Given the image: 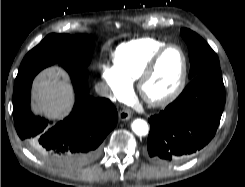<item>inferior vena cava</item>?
Masks as SVG:
<instances>
[{"label": "inferior vena cava", "instance_id": "602c4592", "mask_svg": "<svg viewBox=\"0 0 245 187\" xmlns=\"http://www.w3.org/2000/svg\"><path fill=\"white\" fill-rule=\"evenodd\" d=\"M95 90L102 97H111V90L107 84L100 82L95 85Z\"/></svg>", "mask_w": 245, "mask_h": 187}]
</instances>
